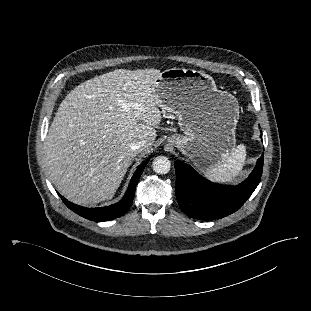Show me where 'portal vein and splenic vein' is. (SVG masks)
<instances>
[{
    "label": "portal vein and splenic vein",
    "instance_id": "1",
    "mask_svg": "<svg viewBox=\"0 0 311 311\" xmlns=\"http://www.w3.org/2000/svg\"><path fill=\"white\" fill-rule=\"evenodd\" d=\"M121 105H122V107L124 108V109H127V108H129V107H131V105L130 104H127V103H124L123 101H121ZM132 107H137L136 105H132Z\"/></svg>",
    "mask_w": 311,
    "mask_h": 311
}]
</instances>
